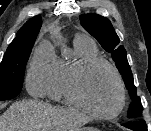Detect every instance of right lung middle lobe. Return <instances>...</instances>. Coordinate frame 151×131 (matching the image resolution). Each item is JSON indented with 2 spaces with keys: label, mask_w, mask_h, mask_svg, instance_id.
Instances as JSON below:
<instances>
[{
  "label": "right lung middle lobe",
  "mask_w": 151,
  "mask_h": 131,
  "mask_svg": "<svg viewBox=\"0 0 151 131\" xmlns=\"http://www.w3.org/2000/svg\"><path fill=\"white\" fill-rule=\"evenodd\" d=\"M32 47L33 44L7 49L0 65V101L12 99L20 93Z\"/></svg>",
  "instance_id": "right-lung-middle-lobe-1"
}]
</instances>
